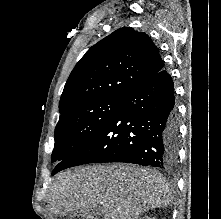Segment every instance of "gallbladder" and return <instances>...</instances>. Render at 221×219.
<instances>
[{"label": "gallbladder", "instance_id": "gallbladder-1", "mask_svg": "<svg viewBox=\"0 0 221 219\" xmlns=\"http://www.w3.org/2000/svg\"><path fill=\"white\" fill-rule=\"evenodd\" d=\"M101 215V210L99 208H96L94 210H92V213L89 212H84L83 213V217L85 219H96L94 218L95 216Z\"/></svg>", "mask_w": 221, "mask_h": 219}]
</instances>
